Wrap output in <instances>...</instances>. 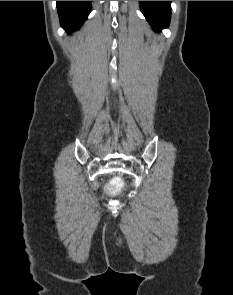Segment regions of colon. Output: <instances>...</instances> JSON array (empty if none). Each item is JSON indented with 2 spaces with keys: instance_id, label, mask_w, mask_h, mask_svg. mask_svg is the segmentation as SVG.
<instances>
[{
  "instance_id": "colon-1",
  "label": "colon",
  "mask_w": 233,
  "mask_h": 295,
  "mask_svg": "<svg viewBox=\"0 0 233 295\" xmlns=\"http://www.w3.org/2000/svg\"><path fill=\"white\" fill-rule=\"evenodd\" d=\"M122 181L120 179H115L109 186V192L117 193L122 188Z\"/></svg>"
}]
</instances>
